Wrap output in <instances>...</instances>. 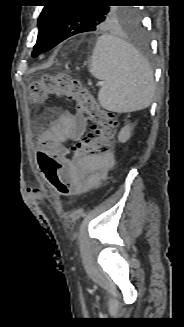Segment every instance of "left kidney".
I'll return each mask as SVG.
<instances>
[{
    "label": "left kidney",
    "instance_id": "left-kidney-1",
    "mask_svg": "<svg viewBox=\"0 0 184 327\" xmlns=\"http://www.w3.org/2000/svg\"><path fill=\"white\" fill-rule=\"evenodd\" d=\"M131 130H132L131 125L124 126L118 135L119 142L122 143L126 142L131 136Z\"/></svg>",
    "mask_w": 184,
    "mask_h": 327
}]
</instances>
